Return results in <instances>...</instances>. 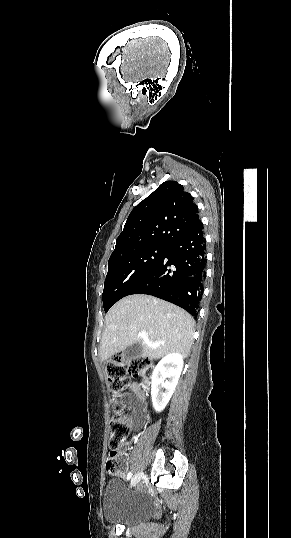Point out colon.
<instances>
[{
  "label": "colon",
  "instance_id": "colon-1",
  "mask_svg": "<svg viewBox=\"0 0 291 538\" xmlns=\"http://www.w3.org/2000/svg\"><path fill=\"white\" fill-rule=\"evenodd\" d=\"M107 381L113 396L114 417L109 422V449L106 461V471L112 475L122 472L121 460L118 450L127 438L130 425L122 416L124 404L122 402L124 390L131 384L132 377L149 380L153 375L152 361L143 356L131 358L127 367L121 355H115L105 365Z\"/></svg>",
  "mask_w": 291,
  "mask_h": 538
}]
</instances>
